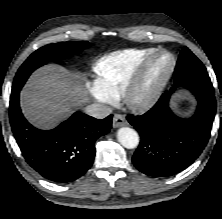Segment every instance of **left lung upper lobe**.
<instances>
[{"mask_svg": "<svg viewBox=\"0 0 222 219\" xmlns=\"http://www.w3.org/2000/svg\"><path fill=\"white\" fill-rule=\"evenodd\" d=\"M174 82L176 86H196L213 90L206 68L187 47L180 53L174 71Z\"/></svg>", "mask_w": 222, "mask_h": 219, "instance_id": "obj_1", "label": "left lung upper lobe"}]
</instances>
